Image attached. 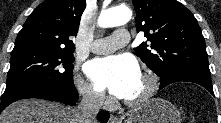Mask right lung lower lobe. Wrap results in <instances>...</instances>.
I'll return each instance as SVG.
<instances>
[{
	"label": "right lung lower lobe",
	"instance_id": "1",
	"mask_svg": "<svg viewBox=\"0 0 221 123\" xmlns=\"http://www.w3.org/2000/svg\"><path fill=\"white\" fill-rule=\"evenodd\" d=\"M26 98H41L52 100L68 105H74L78 100V92L74 84L57 83L42 87L38 82H26L15 86L6 87L0 105V113L9 104ZM101 123H106L109 113L101 111L97 116Z\"/></svg>",
	"mask_w": 221,
	"mask_h": 123
}]
</instances>
